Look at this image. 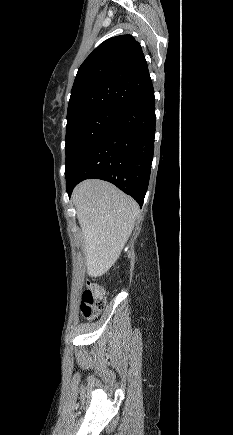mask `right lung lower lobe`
<instances>
[{"instance_id":"right-lung-lower-lobe-1","label":"right lung lower lobe","mask_w":233,"mask_h":435,"mask_svg":"<svg viewBox=\"0 0 233 435\" xmlns=\"http://www.w3.org/2000/svg\"><path fill=\"white\" fill-rule=\"evenodd\" d=\"M154 135L152 86L121 113L66 176L69 196L82 180L98 178L113 183L142 206L150 178Z\"/></svg>"}]
</instances>
